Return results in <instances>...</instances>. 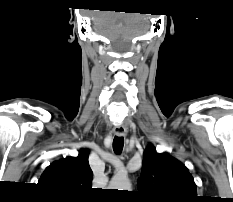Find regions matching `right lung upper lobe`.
Wrapping results in <instances>:
<instances>
[{
  "label": "right lung upper lobe",
  "mask_w": 233,
  "mask_h": 202,
  "mask_svg": "<svg viewBox=\"0 0 233 202\" xmlns=\"http://www.w3.org/2000/svg\"><path fill=\"white\" fill-rule=\"evenodd\" d=\"M89 152L81 150L77 157H67L49 165L39 184L59 195L80 196L92 185L93 172L88 163Z\"/></svg>",
  "instance_id": "cb5924a9"
}]
</instances>
